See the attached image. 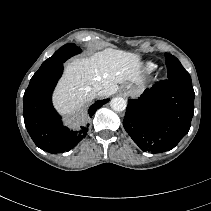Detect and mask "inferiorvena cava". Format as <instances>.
<instances>
[{
	"label": "inferior vena cava",
	"instance_id": "inferior-vena-cava-1",
	"mask_svg": "<svg viewBox=\"0 0 211 211\" xmlns=\"http://www.w3.org/2000/svg\"><path fill=\"white\" fill-rule=\"evenodd\" d=\"M93 90H94L98 95L102 94V92H103V88H102L101 84H99V83H96V84L93 86Z\"/></svg>",
	"mask_w": 211,
	"mask_h": 211
}]
</instances>
